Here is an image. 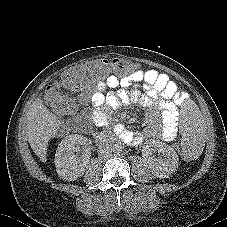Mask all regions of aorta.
Returning a JSON list of instances; mask_svg holds the SVG:
<instances>
[{
    "mask_svg": "<svg viewBox=\"0 0 227 227\" xmlns=\"http://www.w3.org/2000/svg\"><path fill=\"white\" fill-rule=\"evenodd\" d=\"M123 146L119 143H116L112 146V150L114 153L119 154L120 152H122Z\"/></svg>",
    "mask_w": 227,
    "mask_h": 227,
    "instance_id": "1",
    "label": "aorta"
}]
</instances>
